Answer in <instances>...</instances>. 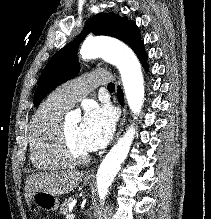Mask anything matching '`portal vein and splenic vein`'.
<instances>
[{
    "label": "portal vein and splenic vein",
    "instance_id": "18ae733b",
    "mask_svg": "<svg viewBox=\"0 0 211 219\" xmlns=\"http://www.w3.org/2000/svg\"><path fill=\"white\" fill-rule=\"evenodd\" d=\"M74 214H69V215H67V217H66V219H74Z\"/></svg>",
    "mask_w": 211,
    "mask_h": 219
}]
</instances>
